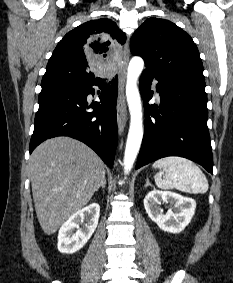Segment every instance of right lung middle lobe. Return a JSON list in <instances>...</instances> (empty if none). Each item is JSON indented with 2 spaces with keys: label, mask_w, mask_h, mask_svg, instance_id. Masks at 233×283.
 Masks as SVG:
<instances>
[{
  "label": "right lung middle lobe",
  "mask_w": 233,
  "mask_h": 283,
  "mask_svg": "<svg viewBox=\"0 0 233 283\" xmlns=\"http://www.w3.org/2000/svg\"><path fill=\"white\" fill-rule=\"evenodd\" d=\"M54 83H68V82H63V81H51V82H42L41 86H46Z\"/></svg>",
  "instance_id": "obj_1"
}]
</instances>
